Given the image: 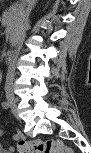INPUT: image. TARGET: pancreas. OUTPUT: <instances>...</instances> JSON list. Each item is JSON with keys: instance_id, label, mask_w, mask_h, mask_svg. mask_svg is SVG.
<instances>
[{"instance_id": "pancreas-1", "label": "pancreas", "mask_w": 91, "mask_h": 153, "mask_svg": "<svg viewBox=\"0 0 91 153\" xmlns=\"http://www.w3.org/2000/svg\"><path fill=\"white\" fill-rule=\"evenodd\" d=\"M2 23L10 35V42L14 44L22 24L21 13L18 7L12 6L8 11H5L2 15Z\"/></svg>"}]
</instances>
